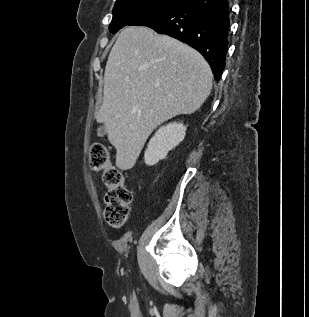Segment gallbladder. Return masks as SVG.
Listing matches in <instances>:
<instances>
[{
    "mask_svg": "<svg viewBox=\"0 0 309 317\" xmlns=\"http://www.w3.org/2000/svg\"><path fill=\"white\" fill-rule=\"evenodd\" d=\"M105 134H106V131H105L104 126H100V127L97 129V135H98L99 137H103Z\"/></svg>",
    "mask_w": 309,
    "mask_h": 317,
    "instance_id": "bac80fb5",
    "label": "gallbladder"
}]
</instances>
